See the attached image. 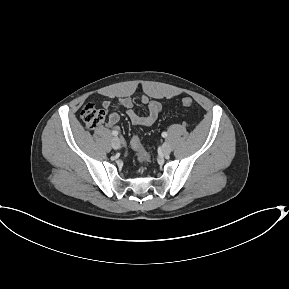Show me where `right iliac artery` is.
Instances as JSON below:
<instances>
[{
  "label": "right iliac artery",
  "instance_id": "82829eb1",
  "mask_svg": "<svg viewBox=\"0 0 289 289\" xmlns=\"http://www.w3.org/2000/svg\"><path fill=\"white\" fill-rule=\"evenodd\" d=\"M112 134L114 135V136H117L118 135V132L117 131H112Z\"/></svg>",
  "mask_w": 289,
  "mask_h": 289
}]
</instances>
